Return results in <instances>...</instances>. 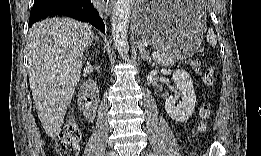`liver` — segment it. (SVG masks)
I'll list each match as a JSON object with an SVG mask.
<instances>
[{
    "mask_svg": "<svg viewBox=\"0 0 261 156\" xmlns=\"http://www.w3.org/2000/svg\"><path fill=\"white\" fill-rule=\"evenodd\" d=\"M92 28L71 18L35 23L28 35L29 83L46 134L56 138L80 80Z\"/></svg>",
    "mask_w": 261,
    "mask_h": 156,
    "instance_id": "1",
    "label": "liver"
}]
</instances>
